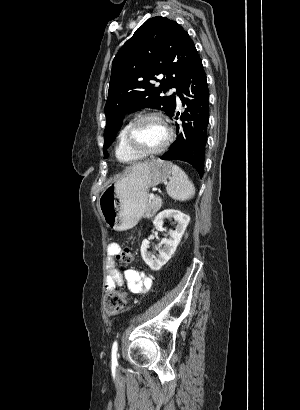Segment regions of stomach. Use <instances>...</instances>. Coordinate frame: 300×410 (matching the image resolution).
Segmentation results:
<instances>
[{
  "label": "stomach",
  "instance_id": "0dacf381",
  "mask_svg": "<svg viewBox=\"0 0 300 410\" xmlns=\"http://www.w3.org/2000/svg\"><path fill=\"white\" fill-rule=\"evenodd\" d=\"M170 162L154 160L131 168L99 197V209L107 226L116 231L133 228L145 212L149 188L170 177Z\"/></svg>",
  "mask_w": 300,
  "mask_h": 410
}]
</instances>
